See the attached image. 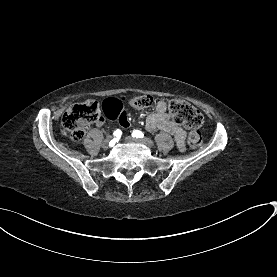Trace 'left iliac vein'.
<instances>
[{
    "instance_id": "obj_1",
    "label": "left iliac vein",
    "mask_w": 277,
    "mask_h": 277,
    "mask_svg": "<svg viewBox=\"0 0 277 277\" xmlns=\"http://www.w3.org/2000/svg\"><path fill=\"white\" fill-rule=\"evenodd\" d=\"M125 140L128 141V142H137V143H141L147 147H152L154 145V142L149 139V138H140V139H137V138H133L131 136H127L125 137Z\"/></svg>"
}]
</instances>
